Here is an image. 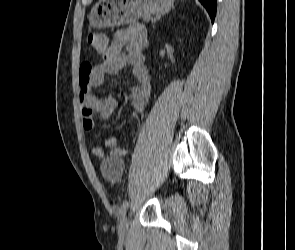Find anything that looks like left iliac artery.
<instances>
[{
	"label": "left iliac artery",
	"mask_w": 295,
	"mask_h": 250,
	"mask_svg": "<svg viewBox=\"0 0 295 250\" xmlns=\"http://www.w3.org/2000/svg\"><path fill=\"white\" fill-rule=\"evenodd\" d=\"M128 205H129L128 201H125V202L123 203V205L121 206V209H120V215H121V216H124V215H125L126 210H127V208H128Z\"/></svg>",
	"instance_id": "44dca946"
}]
</instances>
